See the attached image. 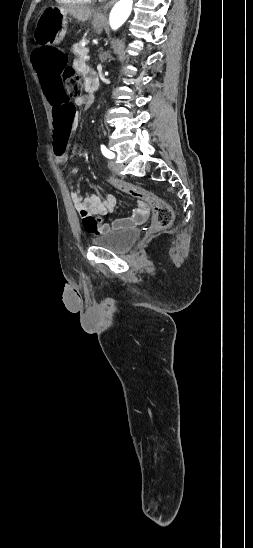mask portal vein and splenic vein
<instances>
[{"label": "portal vein and splenic vein", "instance_id": "18ae733b", "mask_svg": "<svg viewBox=\"0 0 253 548\" xmlns=\"http://www.w3.org/2000/svg\"><path fill=\"white\" fill-rule=\"evenodd\" d=\"M83 59H84V60H89V59H90V56L86 54V55L83 57Z\"/></svg>", "mask_w": 253, "mask_h": 548}]
</instances>
